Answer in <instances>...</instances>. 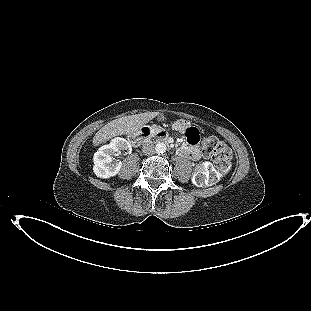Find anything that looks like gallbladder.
I'll return each instance as SVG.
<instances>
[{
    "instance_id": "bac80fb5",
    "label": "gallbladder",
    "mask_w": 311,
    "mask_h": 311,
    "mask_svg": "<svg viewBox=\"0 0 311 311\" xmlns=\"http://www.w3.org/2000/svg\"><path fill=\"white\" fill-rule=\"evenodd\" d=\"M160 119L163 120V119H164V116H163V115H160Z\"/></svg>"
}]
</instances>
